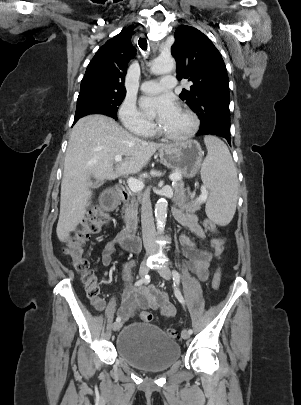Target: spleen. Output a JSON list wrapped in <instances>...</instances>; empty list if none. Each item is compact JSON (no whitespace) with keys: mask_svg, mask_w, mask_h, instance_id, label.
I'll list each match as a JSON object with an SVG mask.
<instances>
[{"mask_svg":"<svg viewBox=\"0 0 301 405\" xmlns=\"http://www.w3.org/2000/svg\"><path fill=\"white\" fill-rule=\"evenodd\" d=\"M204 142L208 153L201 167V178L209 190L206 213L212 221L224 226L230 223L236 211V167L222 140L206 136Z\"/></svg>","mask_w":301,"mask_h":405,"instance_id":"spleen-1","label":"spleen"}]
</instances>
